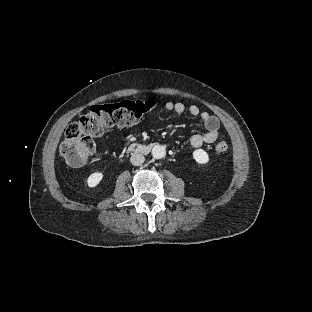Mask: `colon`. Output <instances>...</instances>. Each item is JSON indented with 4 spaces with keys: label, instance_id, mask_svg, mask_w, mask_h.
<instances>
[{
    "label": "colon",
    "instance_id": "5ec220e1",
    "mask_svg": "<svg viewBox=\"0 0 312 312\" xmlns=\"http://www.w3.org/2000/svg\"><path fill=\"white\" fill-rule=\"evenodd\" d=\"M157 103L158 101L134 100L91 106L77 123L66 130L61 143L62 154L72 166L83 165L94 151L92 137L100 136L114 127L139 122ZM214 150L218 154L226 153L229 143L218 142Z\"/></svg>",
    "mask_w": 312,
    "mask_h": 312
}]
</instances>
